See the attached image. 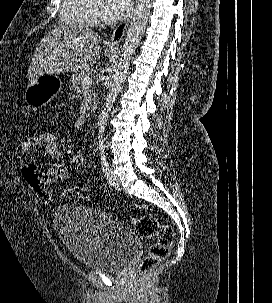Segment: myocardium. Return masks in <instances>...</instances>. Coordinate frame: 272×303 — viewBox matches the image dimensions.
Returning a JSON list of instances; mask_svg holds the SVG:
<instances>
[{
    "mask_svg": "<svg viewBox=\"0 0 272 303\" xmlns=\"http://www.w3.org/2000/svg\"><path fill=\"white\" fill-rule=\"evenodd\" d=\"M91 9L94 16L99 17L101 15L100 9L94 4L93 0H91Z\"/></svg>",
    "mask_w": 272,
    "mask_h": 303,
    "instance_id": "myocardium-1",
    "label": "myocardium"
}]
</instances>
